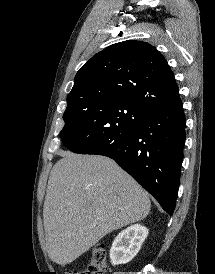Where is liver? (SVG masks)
<instances>
[{"label":"liver","mask_w":215,"mask_h":274,"mask_svg":"<svg viewBox=\"0 0 215 274\" xmlns=\"http://www.w3.org/2000/svg\"><path fill=\"white\" fill-rule=\"evenodd\" d=\"M48 180L43 208L46 251L66 265L108 233L143 220L148 194L112 159L60 152Z\"/></svg>","instance_id":"1"}]
</instances>
